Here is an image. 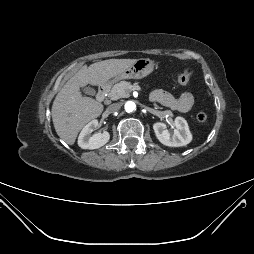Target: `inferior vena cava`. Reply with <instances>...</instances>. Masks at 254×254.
Masks as SVG:
<instances>
[{"instance_id": "obj_1", "label": "inferior vena cava", "mask_w": 254, "mask_h": 254, "mask_svg": "<svg viewBox=\"0 0 254 254\" xmlns=\"http://www.w3.org/2000/svg\"><path fill=\"white\" fill-rule=\"evenodd\" d=\"M121 108V103H113L107 108L108 113H114Z\"/></svg>"}]
</instances>
